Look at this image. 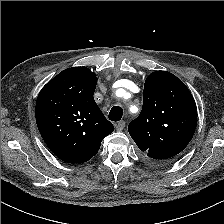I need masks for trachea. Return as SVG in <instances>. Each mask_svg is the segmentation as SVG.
<instances>
[{"instance_id":"trachea-1","label":"trachea","mask_w":224,"mask_h":224,"mask_svg":"<svg viewBox=\"0 0 224 224\" xmlns=\"http://www.w3.org/2000/svg\"><path fill=\"white\" fill-rule=\"evenodd\" d=\"M123 115V110L119 106H114L109 112V119L111 121L117 122L120 121Z\"/></svg>"}]
</instances>
